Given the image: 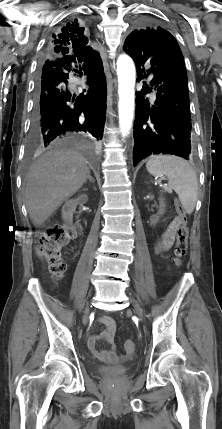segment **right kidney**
Here are the masks:
<instances>
[{
	"label": "right kidney",
	"instance_id": "right-kidney-1",
	"mask_svg": "<svg viewBox=\"0 0 222 429\" xmlns=\"http://www.w3.org/2000/svg\"><path fill=\"white\" fill-rule=\"evenodd\" d=\"M87 201H88V196L86 194H81L77 198L68 200L62 208L63 220L66 223L71 224L73 219V213L75 212L77 205L79 203L85 204L87 203Z\"/></svg>",
	"mask_w": 222,
	"mask_h": 429
}]
</instances>
